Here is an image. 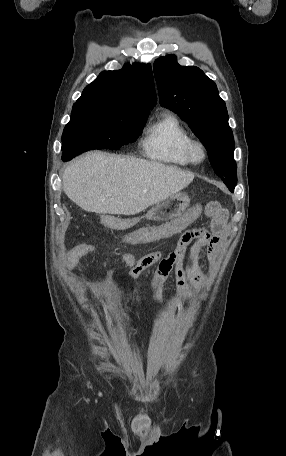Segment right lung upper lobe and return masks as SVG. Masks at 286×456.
I'll return each mask as SVG.
<instances>
[{
	"instance_id": "right-lung-upper-lobe-1",
	"label": "right lung upper lobe",
	"mask_w": 286,
	"mask_h": 456,
	"mask_svg": "<svg viewBox=\"0 0 286 456\" xmlns=\"http://www.w3.org/2000/svg\"><path fill=\"white\" fill-rule=\"evenodd\" d=\"M156 102L150 64H128L118 71L100 73L97 79L84 89L75 104L149 115Z\"/></svg>"
}]
</instances>
